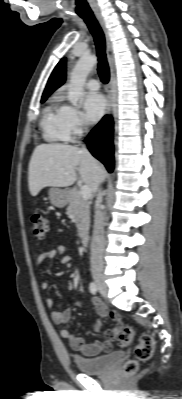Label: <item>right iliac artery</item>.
I'll use <instances>...</instances> for the list:
<instances>
[{
	"label": "right iliac artery",
	"mask_w": 182,
	"mask_h": 399,
	"mask_svg": "<svg viewBox=\"0 0 182 399\" xmlns=\"http://www.w3.org/2000/svg\"><path fill=\"white\" fill-rule=\"evenodd\" d=\"M89 291H90V293L93 294V295L97 294L98 287H97V285H96L95 282H91V283L89 284Z\"/></svg>",
	"instance_id": "right-iliac-artery-1"
}]
</instances>
